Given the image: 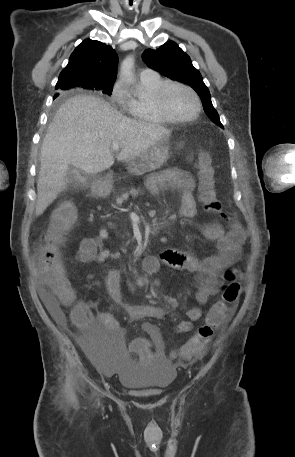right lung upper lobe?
<instances>
[{
    "label": "right lung upper lobe",
    "instance_id": "cb5924a9",
    "mask_svg": "<svg viewBox=\"0 0 295 457\" xmlns=\"http://www.w3.org/2000/svg\"><path fill=\"white\" fill-rule=\"evenodd\" d=\"M118 56L113 48L96 40L86 39L70 56L68 65L60 73L56 89L74 88L84 83L83 89L113 84L117 75Z\"/></svg>",
    "mask_w": 295,
    "mask_h": 457
}]
</instances>
